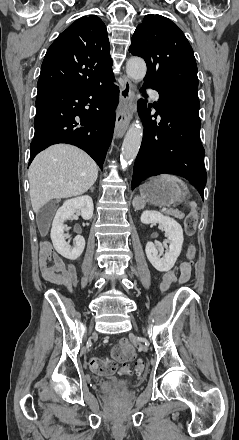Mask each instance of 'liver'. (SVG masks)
I'll use <instances>...</instances> for the list:
<instances>
[{
    "label": "liver",
    "instance_id": "1",
    "mask_svg": "<svg viewBox=\"0 0 239 440\" xmlns=\"http://www.w3.org/2000/svg\"><path fill=\"white\" fill-rule=\"evenodd\" d=\"M98 166L83 150L56 144L34 158L28 172L30 200L38 214L53 198L81 196L95 184Z\"/></svg>",
    "mask_w": 239,
    "mask_h": 440
}]
</instances>
